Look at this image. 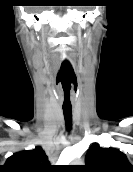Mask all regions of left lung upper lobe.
I'll use <instances>...</instances> for the list:
<instances>
[{"label": "left lung upper lobe", "instance_id": "1", "mask_svg": "<svg viewBox=\"0 0 133 172\" xmlns=\"http://www.w3.org/2000/svg\"><path fill=\"white\" fill-rule=\"evenodd\" d=\"M85 172H132L124 153L114 148H101L93 143L85 157Z\"/></svg>", "mask_w": 133, "mask_h": 172}]
</instances>
